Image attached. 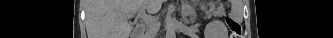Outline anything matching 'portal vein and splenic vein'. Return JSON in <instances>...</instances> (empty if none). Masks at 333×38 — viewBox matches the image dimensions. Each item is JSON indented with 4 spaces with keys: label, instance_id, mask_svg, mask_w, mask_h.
Here are the masks:
<instances>
[{
    "label": "portal vein and splenic vein",
    "instance_id": "portal-vein-and-splenic-vein-1",
    "mask_svg": "<svg viewBox=\"0 0 333 38\" xmlns=\"http://www.w3.org/2000/svg\"><path fill=\"white\" fill-rule=\"evenodd\" d=\"M132 16H133V14L131 15V17ZM137 17L141 18V20L148 23L149 25H154L156 23V20H153L151 16H149L145 13V8H141L139 10Z\"/></svg>",
    "mask_w": 333,
    "mask_h": 38
}]
</instances>
